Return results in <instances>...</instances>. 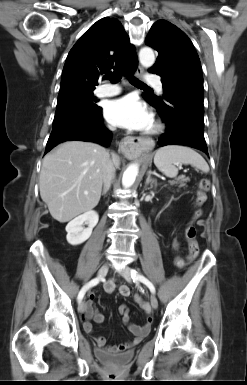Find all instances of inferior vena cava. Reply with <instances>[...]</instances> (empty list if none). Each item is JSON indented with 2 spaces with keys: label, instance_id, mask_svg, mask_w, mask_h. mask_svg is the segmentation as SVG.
Wrapping results in <instances>:
<instances>
[{
  "label": "inferior vena cava",
  "instance_id": "602c4592",
  "mask_svg": "<svg viewBox=\"0 0 247 385\" xmlns=\"http://www.w3.org/2000/svg\"><path fill=\"white\" fill-rule=\"evenodd\" d=\"M115 168L113 165V162L110 158L107 159L105 168H104V174H103V183H104V189H109L111 185V181L114 177Z\"/></svg>",
  "mask_w": 247,
  "mask_h": 385
}]
</instances>
